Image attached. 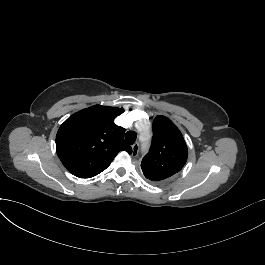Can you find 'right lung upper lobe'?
Masks as SVG:
<instances>
[{
  "mask_svg": "<svg viewBox=\"0 0 265 265\" xmlns=\"http://www.w3.org/2000/svg\"><path fill=\"white\" fill-rule=\"evenodd\" d=\"M123 108L93 106L70 116L56 135L57 154L70 173L91 178L104 171L120 151L132 153L125 129L114 123Z\"/></svg>",
  "mask_w": 265,
  "mask_h": 265,
  "instance_id": "1",
  "label": "right lung upper lobe"
}]
</instances>
